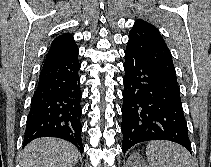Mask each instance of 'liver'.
Here are the masks:
<instances>
[{"mask_svg": "<svg viewBox=\"0 0 211 167\" xmlns=\"http://www.w3.org/2000/svg\"><path fill=\"white\" fill-rule=\"evenodd\" d=\"M78 149L56 138H39L30 142L21 157V167H73L79 157Z\"/></svg>", "mask_w": 211, "mask_h": 167, "instance_id": "liver-1", "label": "liver"}]
</instances>
